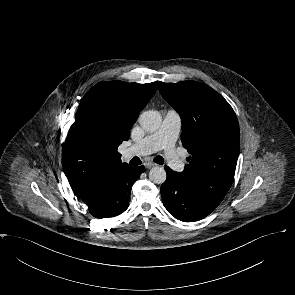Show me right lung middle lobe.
I'll return each mask as SVG.
<instances>
[{"instance_id":"right-lung-middle-lobe-1","label":"right lung middle lobe","mask_w":295,"mask_h":295,"mask_svg":"<svg viewBox=\"0 0 295 295\" xmlns=\"http://www.w3.org/2000/svg\"><path fill=\"white\" fill-rule=\"evenodd\" d=\"M82 122L88 128L118 125L124 112L117 104L114 88L108 82L93 86L81 100L78 110Z\"/></svg>"}]
</instances>
